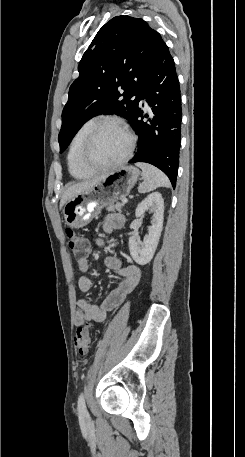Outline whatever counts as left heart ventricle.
<instances>
[{"label":"left heart ventricle","mask_w":245,"mask_h":457,"mask_svg":"<svg viewBox=\"0 0 245 457\" xmlns=\"http://www.w3.org/2000/svg\"><path fill=\"white\" fill-rule=\"evenodd\" d=\"M128 138L114 128L103 129L86 152V162L95 168L104 167L126 150Z\"/></svg>","instance_id":"left-heart-ventricle-1"}]
</instances>
